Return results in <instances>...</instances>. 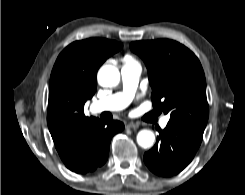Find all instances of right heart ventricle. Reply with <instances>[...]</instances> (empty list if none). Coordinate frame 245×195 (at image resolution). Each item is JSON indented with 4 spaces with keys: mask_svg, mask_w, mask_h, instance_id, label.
Wrapping results in <instances>:
<instances>
[{
    "mask_svg": "<svg viewBox=\"0 0 245 195\" xmlns=\"http://www.w3.org/2000/svg\"><path fill=\"white\" fill-rule=\"evenodd\" d=\"M125 60H133L130 56H126Z\"/></svg>",
    "mask_w": 245,
    "mask_h": 195,
    "instance_id": "obj_1",
    "label": "right heart ventricle"
}]
</instances>
